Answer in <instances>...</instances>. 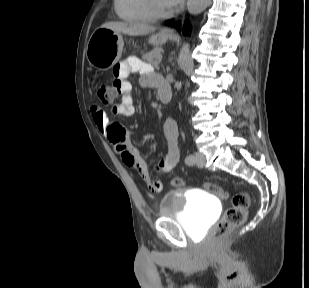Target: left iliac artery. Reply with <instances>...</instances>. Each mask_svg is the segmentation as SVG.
<instances>
[{"label": "left iliac artery", "mask_w": 309, "mask_h": 288, "mask_svg": "<svg viewBox=\"0 0 309 288\" xmlns=\"http://www.w3.org/2000/svg\"><path fill=\"white\" fill-rule=\"evenodd\" d=\"M194 162H195V157H194L193 154H189V155L186 156V158H185V163H186L187 165H193Z\"/></svg>", "instance_id": "44dca946"}]
</instances>
